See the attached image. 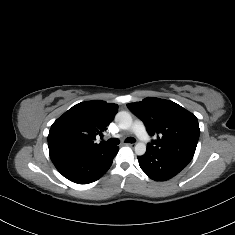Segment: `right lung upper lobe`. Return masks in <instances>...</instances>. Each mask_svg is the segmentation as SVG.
I'll list each match as a JSON object with an SVG mask.
<instances>
[{
  "mask_svg": "<svg viewBox=\"0 0 235 235\" xmlns=\"http://www.w3.org/2000/svg\"><path fill=\"white\" fill-rule=\"evenodd\" d=\"M118 105L101 100L81 102L58 118L48 135L49 150L96 151L109 146L95 142L113 121Z\"/></svg>",
  "mask_w": 235,
  "mask_h": 235,
  "instance_id": "right-lung-upper-lobe-1",
  "label": "right lung upper lobe"
}]
</instances>
